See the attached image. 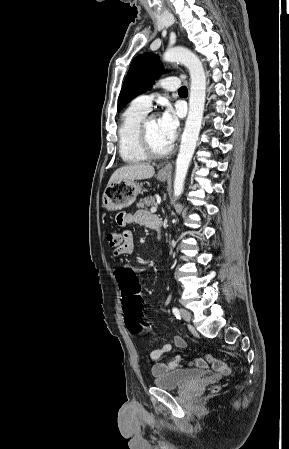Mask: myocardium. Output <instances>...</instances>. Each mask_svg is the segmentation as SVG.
Here are the masks:
<instances>
[{
  "mask_svg": "<svg viewBox=\"0 0 289 449\" xmlns=\"http://www.w3.org/2000/svg\"><path fill=\"white\" fill-rule=\"evenodd\" d=\"M155 118L154 116H147L143 119L141 122L140 128H139V143L142 152L145 154L147 158L151 159H161L169 156L174 151V144H171V146L164 152H156L150 143L149 139V133H148V124L151 119Z\"/></svg>",
  "mask_w": 289,
  "mask_h": 449,
  "instance_id": "obj_1",
  "label": "myocardium"
}]
</instances>
